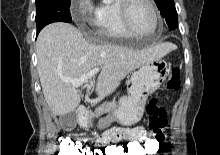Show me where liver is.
Segmentation results:
<instances>
[{
	"label": "liver",
	"mask_w": 220,
	"mask_h": 155,
	"mask_svg": "<svg viewBox=\"0 0 220 155\" xmlns=\"http://www.w3.org/2000/svg\"><path fill=\"white\" fill-rule=\"evenodd\" d=\"M171 44L142 50L115 45L88 43L73 25L56 22L44 27L38 35L36 54L38 74L44 98L54 116L74 111L80 95L62 78H79L94 68H101L96 93L105 97L116 90L133 70L167 55Z\"/></svg>",
	"instance_id": "1"
}]
</instances>
